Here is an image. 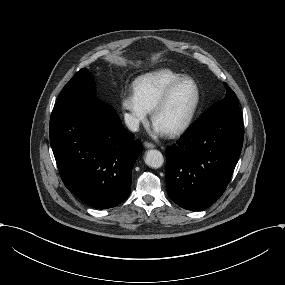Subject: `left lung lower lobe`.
Returning <instances> with one entry per match:
<instances>
[{
	"instance_id": "0a47b994",
	"label": "left lung lower lobe",
	"mask_w": 285,
	"mask_h": 285,
	"mask_svg": "<svg viewBox=\"0 0 285 285\" xmlns=\"http://www.w3.org/2000/svg\"><path fill=\"white\" fill-rule=\"evenodd\" d=\"M243 138L238 105L202 115L166 150V185L171 200L192 211L213 204L230 181Z\"/></svg>"
}]
</instances>
